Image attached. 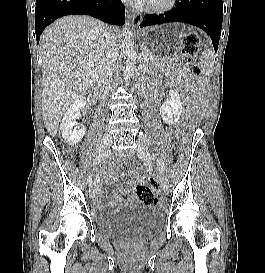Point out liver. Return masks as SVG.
Returning <instances> with one entry per match:
<instances>
[{
    "instance_id": "6515ba94",
    "label": "liver",
    "mask_w": 265,
    "mask_h": 273,
    "mask_svg": "<svg viewBox=\"0 0 265 273\" xmlns=\"http://www.w3.org/2000/svg\"><path fill=\"white\" fill-rule=\"evenodd\" d=\"M106 29L97 19L71 15L56 20L43 32L40 39L42 112L44 125L52 137L57 134L67 109L98 78L101 41Z\"/></svg>"
}]
</instances>
